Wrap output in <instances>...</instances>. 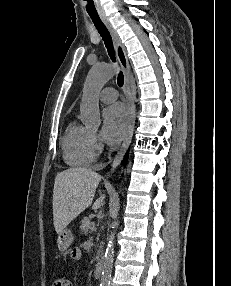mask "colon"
<instances>
[{
  "label": "colon",
  "instance_id": "colon-1",
  "mask_svg": "<svg viewBox=\"0 0 231 286\" xmlns=\"http://www.w3.org/2000/svg\"><path fill=\"white\" fill-rule=\"evenodd\" d=\"M52 286H72L70 281L64 277H58L54 280Z\"/></svg>",
  "mask_w": 231,
  "mask_h": 286
}]
</instances>
